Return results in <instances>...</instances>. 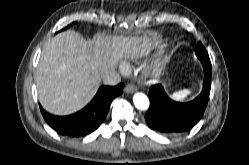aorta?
<instances>
[{
	"instance_id": "aorta-1",
	"label": "aorta",
	"mask_w": 249,
	"mask_h": 165,
	"mask_svg": "<svg viewBox=\"0 0 249 165\" xmlns=\"http://www.w3.org/2000/svg\"><path fill=\"white\" fill-rule=\"evenodd\" d=\"M133 103L139 110H146L149 107V99L144 93H135Z\"/></svg>"
}]
</instances>
